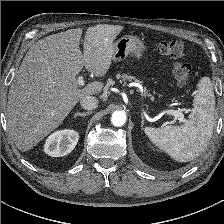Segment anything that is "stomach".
<instances>
[{"instance_id": "obj_1", "label": "stomach", "mask_w": 224, "mask_h": 224, "mask_svg": "<svg viewBox=\"0 0 224 224\" xmlns=\"http://www.w3.org/2000/svg\"><path fill=\"white\" fill-rule=\"evenodd\" d=\"M115 52L113 55V61L120 62L129 54L135 55L137 58H141L146 46L143 41L134 35H124L119 38L114 44Z\"/></svg>"}]
</instances>
